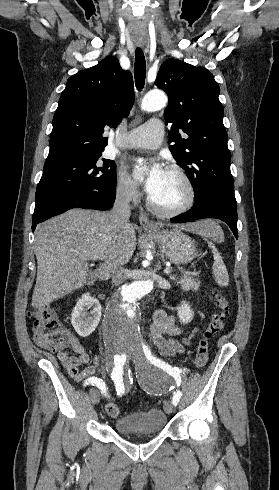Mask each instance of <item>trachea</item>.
I'll return each instance as SVG.
<instances>
[{
  "instance_id": "obj_1",
  "label": "trachea",
  "mask_w": 279,
  "mask_h": 490,
  "mask_svg": "<svg viewBox=\"0 0 279 490\" xmlns=\"http://www.w3.org/2000/svg\"><path fill=\"white\" fill-rule=\"evenodd\" d=\"M134 76L136 87L138 90H141L145 84L146 62L144 54L140 48H137L135 52Z\"/></svg>"
}]
</instances>
